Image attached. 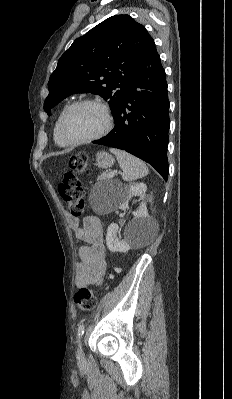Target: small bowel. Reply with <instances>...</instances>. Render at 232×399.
<instances>
[{
  "label": "small bowel",
  "mask_w": 232,
  "mask_h": 399,
  "mask_svg": "<svg viewBox=\"0 0 232 399\" xmlns=\"http://www.w3.org/2000/svg\"><path fill=\"white\" fill-rule=\"evenodd\" d=\"M76 237L89 247H81L78 251L80 260L75 266V285L78 288H84L90 282L100 285L106 267L101 222L86 219L76 228Z\"/></svg>",
  "instance_id": "c3829d8e"
}]
</instances>
